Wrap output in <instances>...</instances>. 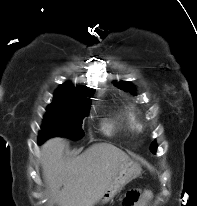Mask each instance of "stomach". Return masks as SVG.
I'll return each instance as SVG.
<instances>
[{"label": "stomach", "instance_id": "stomach-1", "mask_svg": "<svg viewBox=\"0 0 197 206\" xmlns=\"http://www.w3.org/2000/svg\"><path fill=\"white\" fill-rule=\"evenodd\" d=\"M140 174L141 168L139 165L130 160L123 161L117 169L106 191L99 198V201L101 203H107L117 193H119L126 184L138 177Z\"/></svg>", "mask_w": 197, "mask_h": 206}]
</instances>
